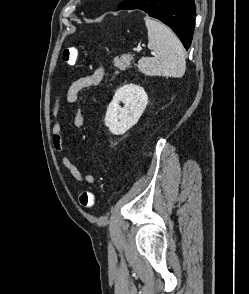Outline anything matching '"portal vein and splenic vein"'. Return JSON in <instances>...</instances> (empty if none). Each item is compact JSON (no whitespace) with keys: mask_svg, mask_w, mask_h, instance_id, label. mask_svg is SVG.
I'll list each match as a JSON object with an SVG mask.
<instances>
[{"mask_svg":"<svg viewBox=\"0 0 249 294\" xmlns=\"http://www.w3.org/2000/svg\"><path fill=\"white\" fill-rule=\"evenodd\" d=\"M142 49L141 48H137L136 51L139 53ZM154 52H151V55H154Z\"/></svg>","mask_w":249,"mask_h":294,"instance_id":"18ae733b","label":"portal vein and splenic vein"}]
</instances>
